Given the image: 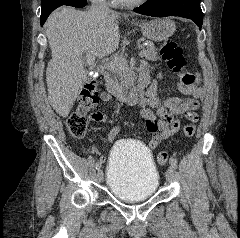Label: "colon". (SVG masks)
<instances>
[{
    "label": "colon",
    "mask_w": 240,
    "mask_h": 238,
    "mask_svg": "<svg viewBox=\"0 0 240 238\" xmlns=\"http://www.w3.org/2000/svg\"><path fill=\"white\" fill-rule=\"evenodd\" d=\"M160 52L162 58L167 62L168 67L178 75L183 86L190 88L195 85V74L185 70L186 59L181 47L173 41H166L162 45ZM98 101L97 82L95 80H89L85 83L81 91L77 110L71 113L66 120V127L73 137L82 138L86 134L89 122L87 112L90 111ZM195 131L196 128L193 121H188L183 128V133L187 138L193 137ZM167 161L168 154L161 151L157 155V163L160 166H164L167 164Z\"/></svg>",
    "instance_id": "obj_1"
}]
</instances>
